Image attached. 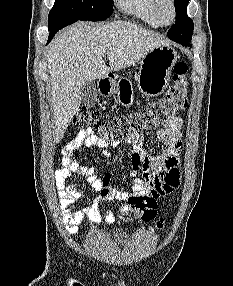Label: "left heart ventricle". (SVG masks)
Here are the masks:
<instances>
[{"mask_svg": "<svg viewBox=\"0 0 233 286\" xmlns=\"http://www.w3.org/2000/svg\"><path fill=\"white\" fill-rule=\"evenodd\" d=\"M160 14L164 21H169L171 18V9L169 5L163 4L160 9Z\"/></svg>", "mask_w": 233, "mask_h": 286, "instance_id": "b2bd125f", "label": "left heart ventricle"}]
</instances>
